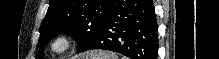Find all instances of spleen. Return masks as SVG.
I'll list each match as a JSON object with an SVG mask.
<instances>
[{
  "label": "spleen",
  "mask_w": 219,
  "mask_h": 59,
  "mask_svg": "<svg viewBox=\"0 0 219 59\" xmlns=\"http://www.w3.org/2000/svg\"><path fill=\"white\" fill-rule=\"evenodd\" d=\"M102 56V57H101ZM107 55H105V54H101L99 57H97L98 59H100V58H104V59H107Z\"/></svg>",
  "instance_id": "spleen-1"
}]
</instances>
